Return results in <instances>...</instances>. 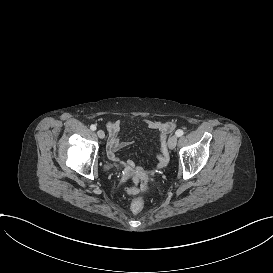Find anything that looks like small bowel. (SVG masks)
<instances>
[{
	"mask_svg": "<svg viewBox=\"0 0 273 273\" xmlns=\"http://www.w3.org/2000/svg\"><path fill=\"white\" fill-rule=\"evenodd\" d=\"M121 120L115 119L111 120L107 123V132H108V143H107V156L110 161L117 163L119 161L118 158V151L123 149L126 144L121 142L119 139V133L121 130ZM147 127L151 130L158 131L160 133H167L168 131L172 130L173 124L170 122H160L156 120H148L146 122ZM157 167L164 169L166 167V164L168 162L167 156H168V150H167V143L161 142L160 147L157 150ZM124 169L122 172V179L128 180L130 177V171L131 173H135L140 177V188L143 191L149 190V185L147 184V178L149 177L148 171H143L141 167L137 166L132 160H127L123 163ZM121 193L124 194L125 197H134L135 191L134 190H128L127 187L121 188Z\"/></svg>",
	"mask_w": 273,
	"mask_h": 273,
	"instance_id": "small-bowel-1",
	"label": "small bowel"
}]
</instances>
